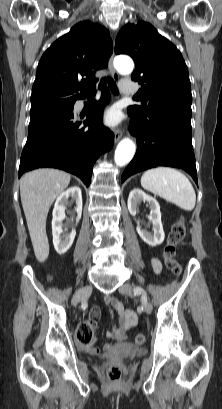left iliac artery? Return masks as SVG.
I'll use <instances>...</instances> for the list:
<instances>
[{"mask_svg":"<svg viewBox=\"0 0 222 409\" xmlns=\"http://www.w3.org/2000/svg\"><path fill=\"white\" fill-rule=\"evenodd\" d=\"M134 293L135 294H146V292L141 287H135Z\"/></svg>","mask_w":222,"mask_h":409,"instance_id":"44dca946","label":"left iliac artery"}]
</instances>
